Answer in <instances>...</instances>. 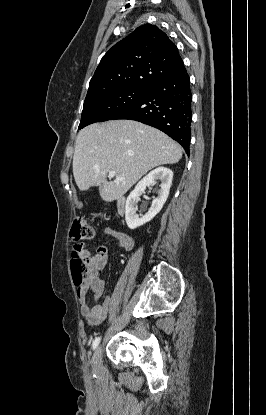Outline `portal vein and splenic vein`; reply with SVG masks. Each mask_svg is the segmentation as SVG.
Returning a JSON list of instances; mask_svg holds the SVG:
<instances>
[{
  "label": "portal vein and splenic vein",
  "mask_w": 266,
  "mask_h": 415,
  "mask_svg": "<svg viewBox=\"0 0 266 415\" xmlns=\"http://www.w3.org/2000/svg\"><path fill=\"white\" fill-rule=\"evenodd\" d=\"M109 177L110 178L116 177L117 180H124L125 179V177L118 176L115 171H109Z\"/></svg>",
  "instance_id": "18ae733b"
}]
</instances>
